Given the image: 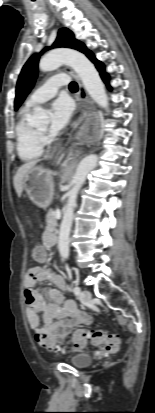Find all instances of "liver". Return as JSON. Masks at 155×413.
Here are the masks:
<instances>
[{
    "label": "liver",
    "mask_w": 155,
    "mask_h": 413,
    "mask_svg": "<svg viewBox=\"0 0 155 413\" xmlns=\"http://www.w3.org/2000/svg\"><path fill=\"white\" fill-rule=\"evenodd\" d=\"M39 162V160H33V161H29L25 164H23L22 166H20L14 176V188L16 190V193L18 195V197L21 196L22 191H23V180L25 175L27 174V172L33 168L37 163Z\"/></svg>",
    "instance_id": "6515ba94"
}]
</instances>
